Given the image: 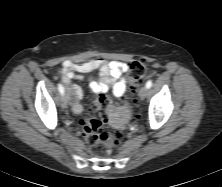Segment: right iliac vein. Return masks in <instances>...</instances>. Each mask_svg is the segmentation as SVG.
<instances>
[{
	"instance_id": "right-iliac-vein-1",
	"label": "right iliac vein",
	"mask_w": 222,
	"mask_h": 187,
	"mask_svg": "<svg viewBox=\"0 0 222 187\" xmlns=\"http://www.w3.org/2000/svg\"><path fill=\"white\" fill-rule=\"evenodd\" d=\"M69 102L68 94H65L61 97V106L62 108H66Z\"/></svg>"
}]
</instances>
